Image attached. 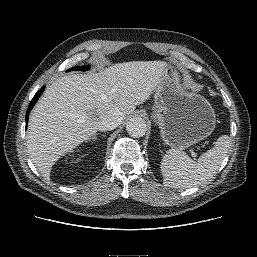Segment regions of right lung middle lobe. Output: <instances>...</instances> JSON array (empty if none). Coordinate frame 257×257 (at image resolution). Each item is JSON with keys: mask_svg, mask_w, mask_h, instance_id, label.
<instances>
[{"mask_svg": "<svg viewBox=\"0 0 257 257\" xmlns=\"http://www.w3.org/2000/svg\"><path fill=\"white\" fill-rule=\"evenodd\" d=\"M88 69H89V66L86 65V66H81V67H73V68H70L68 71H71V70L85 71V70H88Z\"/></svg>", "mask_w": 257, "mask_h": 257, "instance_id": "obj_1", "label": "right lung middle lobe"}]
</instances>
